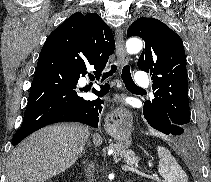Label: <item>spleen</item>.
<instances>
[{
	"instance_id": "3e777b00",
	"label": "spleen",
	"mask_w": 211,
	"mask_h": 182,
	"mask_svg": "<svg viewBox=\"0 0 211 182\" xmlns=\"http://www.w3.org/2000/svg\"><path fill=\"white\" fill-rule=\"evenodd\" d=\"M157 154L159 157L158 172L165 182H188L185 171L168 149L158 146Z\"/></svg>"
}]
</instances>
